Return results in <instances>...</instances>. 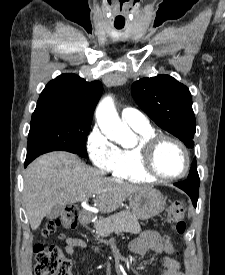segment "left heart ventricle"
<instances>
[{
    "label": "left heart ventricle",
    "instance_id": "b2bd125f",
    "mask_svg": "<svg viewBox=\"0 0 225 275\" xmlns=\"http://www.w3.org/2000/svg\"><path fill=\"white\" fill-rule=\"evenodd\" d=\"M154 164L160 174L165 176L176 175L181 172L184 166L182 151L172 142H163L155 154Z\"/></svg>",
    "mask_w": 225,
    "mask_h": 275
}]
</instances>
